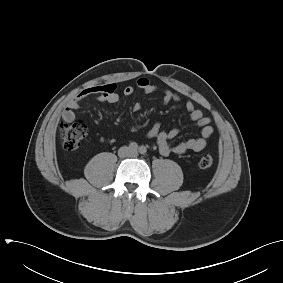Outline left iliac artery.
Masks as SVG:
<instances>
[{
  "mask_svg": "<svg viewBox=\"0 0 283 283\" xmlns=\"http://www.w3.org/2000/svg\"><path fill=\"white\" fill-rule=\"evenodd\" d=\"M139 152H140L141 154H146L147 148H146L145 146H140V147H139Z\"/></svg>",
  "mask_w": 283,
  "mask_h": 283,
  "instance_id": "1",
  "label": "left iliac artery"
}]
</instances>
